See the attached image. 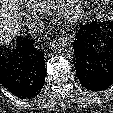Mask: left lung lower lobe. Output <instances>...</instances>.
<instances>
[{"label":"left lung lower lobe","mask_w":113,"mask_h":113,"mask_svg":"<svg viewBox=\"0 0 113 113\" xmlns=\"http://www.w3.org/2000/svg\"><path fill=\"white\" fill-rule=\"evenodd\" d=\"M73 43L76 75L92 91L113 83V24L93 21L80 27Z\"/></svg>","instance_id":"left-lung-lower-lobe-1"}]
</instances>
